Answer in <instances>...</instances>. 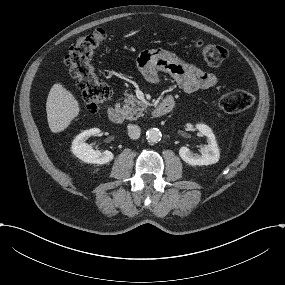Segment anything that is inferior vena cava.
Here are the masks:
<instances>
[{"label":"inferior vena cava","mask_w":285,"mask_h":285,"mask_svg":"<svg viewBox=\"0 0 285 285\" xmlns=\"http://www.w3.org/2000/svg\"><path fill=\"white\" fill-rule=\"evenodd\" d=\"M140 127L137 125H131L128 128V135L131 139H138L140 137Z\"/></svg>","instance_id":"inferior-vena-cava-1"}]
</instances>
